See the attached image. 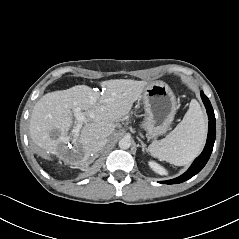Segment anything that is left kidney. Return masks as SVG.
<instances>
[{
    "label": "left kidney",
    "instance_id": "1",
    "mask_svg": "<svg viewBox=\"0 0 239 239\" xmlns=\"http://www.w3.org/2000/svg\"><path fill=\"white\" fill-rule=\"evenodd\" d=\"M149 166L153 171H155L156 173H158L160 175L166 174L165 169L162 168L160 165H158L156 162L150 161Z\"/></svg>",
    "mask_w": 239,
    "mask_h": 239
}]
</instances>
